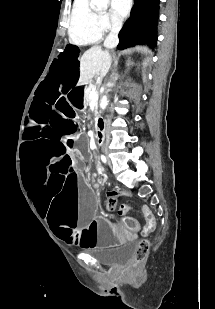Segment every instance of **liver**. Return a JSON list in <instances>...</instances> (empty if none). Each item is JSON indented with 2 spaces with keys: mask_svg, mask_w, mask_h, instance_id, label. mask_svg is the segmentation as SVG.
I'll return each mask as SVG.
<instances>
[{
  "mask_svg": "<svg viewBox=\"0 0 215 309\" xmlns=\"http://www.w3.org/2000/svg\"><path fill=\"white\" fill-rule=\"evenodd\" d=\"M145 52H150L147 50L146 46L141 48ZM112 62V56L108 50H102L101 46L94 44L88 50H85L80 58V78L77 82V86L80 84H88L92 80L93 76H98L100 74L101 78L106 76Z\"/></svg>",
  "mask_w": 215,
  "mask_h": 309,
  "instance_id": "obj_1",
  "label": "liver"
}]
</instances>
